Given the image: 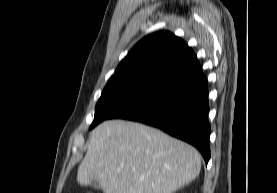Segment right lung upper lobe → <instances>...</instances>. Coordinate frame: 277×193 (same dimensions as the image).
<instances>
[{
  "mask_svg": "<svg viewBox=\"0 0 277 193\" xmlns=\"http://www.w3.org/2000/svg\"><path fill=\"white\" fill-rule=\"evenodd\" d=\"M201 69L185 42L168 31L139 41L120 62L104 89L128 88L153 92Z\"/></svg>",
  "mask_w": 277,
  "mask_h": 193,
  "instance_id": "cb5924a9",
  "label": "right lung upper lobe"
}]
</instances>
